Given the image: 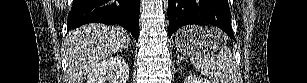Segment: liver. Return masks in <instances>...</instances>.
<instances>
[{
    "instance_id": "liver-1",
    "label": "liver",
    "mask_w": 307,
    "mask_h": 83,
    "mask_svg": "<svg viewBox=\"0 0 307 83\" xmlns=\"http://www.w3.org/2000/svg\"><path fill=\"white\" fill-rule=\"evenodd\" d=\"M129 44L130 35L121 27L88 24L69 32L65 40L66 83H83L97 62L127 49Z\"/></svg>"
}]
</instances>
